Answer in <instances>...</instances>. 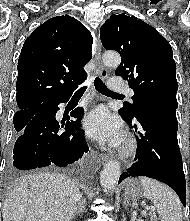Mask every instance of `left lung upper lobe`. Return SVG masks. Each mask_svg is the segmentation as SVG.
Returning a JSON list of instances; mask_svg holds the SVG:
<instances>
[{
    "label": "left lung upper lobe",
    "instance_id": "1",
    "mask_svg": "<svg viewBox=\"0 0 190 221\" xmlns=\"http://www.w3.org/2000/svg\"><path fill=\"white\" fill-rule=\"evenodd\" d=\"M102 45L121 55L115 74L134 90L133 104L119 110L130 120L138 108L162 105L177 109L176 64L169 42L159 32L134 16L111 15L100 29Z\"/></svg>",
    "mask_w": 190,
    "mask_h": 221
}]
</instances>
